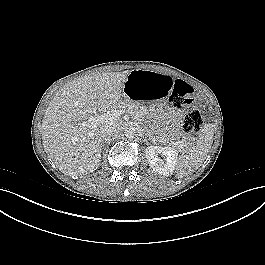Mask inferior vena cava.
<instances>
[{"label":"inferior vena cava","instance_id":"inferior-vena-cava-1","mask_svg":"<svg viewBox=\"0 0 265 265\" xmlns=\"http://www.w3.org/2000/svg\"><path fill=\"white\" fill-rule=\"evenodd\" d=\"M118 133V128L113 124H106L101 128L100 135L102 138H111Z\"/></svg>","mask_w":265,"mask_h":265}]
</instances>
